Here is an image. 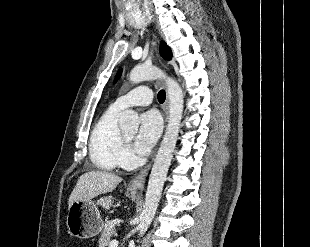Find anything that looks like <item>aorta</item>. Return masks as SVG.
<instances>
[{"label":"aorta","mask_w":310,"mask_h":247,"mask_svg":"<svg viewBox=\"0 0 310 247\" xmlns=\"http://www.w3.org/2000/svg\"><path fill=\"white\" fill-rule=\"evenodd\" d=\"M132 83L146 80L164 79L167 85L169 99V120L164 138L154 160L150 173L144 208L137 226L139 236L142 237L149 228L161 198L163 185L171 164L173 152L179 134L180 122L183 114L184 95L180 85L172 78L167 77L160 69L154 66H135L129 75ZM119 126L125 131H137L139 117L136 112L126 110L121 113Z\"/></svg>","instance_id":"762f6f07"}]
</instances>
